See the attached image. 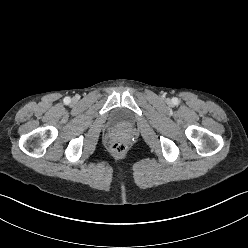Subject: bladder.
<instances>
[{
    "label": "bladder",
    "mask_w": 248,
    "mask_h": 248,
    "mask_svg": "<svg viewBox=\"0 0 248 248\" xmlns=\"http://www.w3.org/2000/svg\"><path fill=\"white\" fill-rule=\"evenodd\" d=\"M130 122V115L125 109L117 108L111 114V123L114 125H127Z\"/></svg>",
    "instance_id": "31cf9c89"
}]
</instances>
